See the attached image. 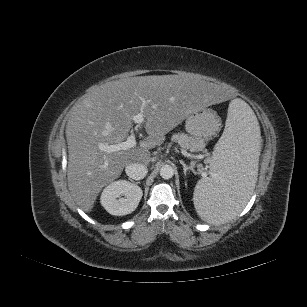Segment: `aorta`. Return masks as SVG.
<instances>
[{"instance_id":"aorta-1","label":"aorta","mask_w":307,"mask_h":307,"mask_svg":"<svg viewBox=\"0 0 307 307\" xmlns=\"http://www.w3.org/2000/svg\"><path fill=\"white\" fill-rule=\"evenodd\" d=\"M174 175V169L172 166L170 165H164L161 167L160 169V176L163 178V179H170L172 178Z\"/></svg>"}]
</instances>
